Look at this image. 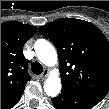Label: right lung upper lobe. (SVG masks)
<instances>
[{"mask_svg": "<svg viewBox=\"0 0 109 109\" xmlns=\"http://www.w3.org/2000/svg\"><path fill=\"white\" fill-rule=\"evenodd\" d=\"M35 33L32 25L17 21L1 23V105L23 90L31 79L23 46Z\"/></svg>", "mask_w": 109, "mask_h": 109, "instance_id": "1", "label": "right lung upper lobe"}]
</instances>
